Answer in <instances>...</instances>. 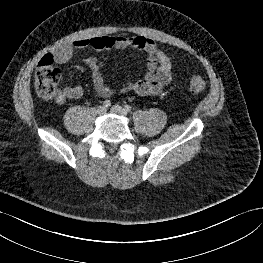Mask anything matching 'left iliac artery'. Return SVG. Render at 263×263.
I'll return each mask as SVG.
<instances>
[{
  "mask_svg": "<svg viewBox=\"0 0 263 263\" xmlns=\"http://www.w3.org/2000/svg\"><path fill=\"white\" fill-rule=\"evenodd\" d=\"M124 110H125L126 112H130V111H131V106H130V105H125V106H124Z\"/></svg>",
  "mask_w": 263,
  "mask_h": 263,
  "instance_id": "44dca946",
  "label": "left iliac artery"
}]
</instances>
